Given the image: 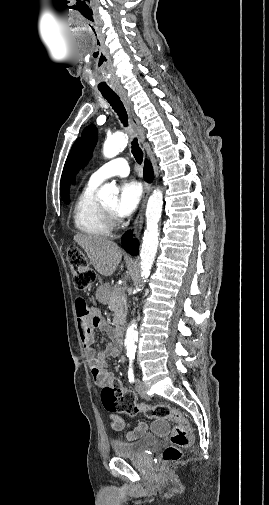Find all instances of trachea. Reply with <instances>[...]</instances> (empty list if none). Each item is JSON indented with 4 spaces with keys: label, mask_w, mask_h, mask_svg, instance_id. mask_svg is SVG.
I'll return each mask as SVG.
<instances>
[{
    "label": "trachea",
    "mask_w": 269,
    "mask_h": 505,
    "mask_svg": "<svg viewBox=\"0 0 269 505\" xmlns=\"http://www.w3.org/2000/svg\"><path fill=\"white\" fill-rule=\"evenodd\" d=\"M102 96L109 102L113 110L117 113L121 123H123L126 127L128 125V115L119 96L114 91L102 92ZM131 148L132 154L137 163L141 164L143 161V152L140 149L136 138L133 139Z\"/></svg>",
    "instance_id": "trachea-1"
}]
</instances>
